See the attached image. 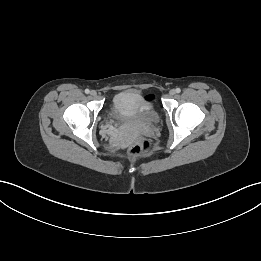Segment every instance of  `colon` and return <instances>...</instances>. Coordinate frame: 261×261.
Segmentation results:
<instances>
[{
  "instance_id": "1",
  "label": "colon",
  "mask_w": 261,
  "mask_h": 261,
  "mask_svg": "<svg viewBox=\"0 0 261 261\" xmlns=\"http://www.w3.org/2000/svg\"><path fill=\"white\" fill-rule=\"evenodd\" d=\"M140 103L144 107H154L158 103V96L154 92H144L140 96ZM152 148V144L147 139L138 140L129 150L132 157H139L148 153Z\"/></svg>"
}]
</instances>
